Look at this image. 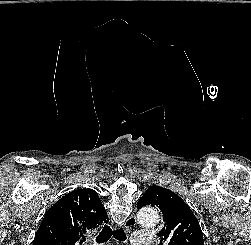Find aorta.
Listing matches in <instances>:
<instances>
[{"label": "aorta", "instance_id": "762f6f07", "mask_svg": "<svg viewBox=\"0 0 251 245\" xmlns=\"http://www.w3.org/2000/svg\"><path fill=\"white\" fill-rule=\"evenodd\" d=\"M139 222L142 226L153 227L159 222V215L155 208L145 207L138 212Z\"/></svg>", "mask_w": 251, "mask_h": 245}]
</instances>
